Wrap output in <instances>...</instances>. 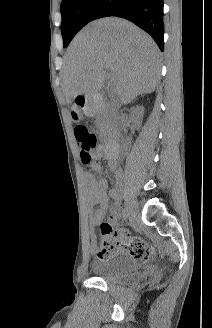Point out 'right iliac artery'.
<instances>
[{"mask_svg":"<svg viewBox=\"0 0 212 328\" xmlns=\"http://www.w3.org/2000/svg\"><path fill=\"white\" fill-rule=\"evenodd\" d=\"M123 219L126 220L129 216L128 209L125 207L122 211Z\"/></svg>","mask_w":212,"mask_h":328,"instance_id":"obj_1","label":"right iliac artery"}]
</instances>
